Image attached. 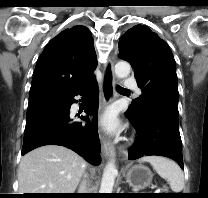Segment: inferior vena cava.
<instances>
[{"label": "inferior vena cava", "instance_id": "inferior-vena-cava-1", "mask_svg": "<svg viewBox=\"0 0 208 198\" xmlns=\"http://www.w3.org/2000/svg\"><path fill=\"white\" fill-rule=\"evenodd\" d=\"M85 192H86V182L84 181V182H82L78 193H85Z\"/></svg>", "mask_w": 208, "mask_h": 198}]
</instances>
